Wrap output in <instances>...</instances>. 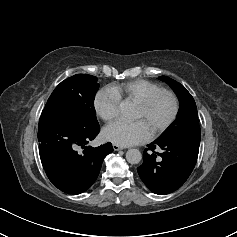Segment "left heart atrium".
Masks as SVG:
<instances>
[{"label": "left heart atrium", "instance_id": "39dd6f15", "mask_svg": "<svg viewBox=\"0 0 237 237\" xmlns=\"http://www.w3.org/2000/svg\"><path fill=\"white\" fill-rule=\"evenodd\" d=\"M103 137L106 141L125 147L147 141L150 133L141 121H118L104 128Z\"/></svg>", "mask_w": 237, "mask_h": 237}]
</instances>
